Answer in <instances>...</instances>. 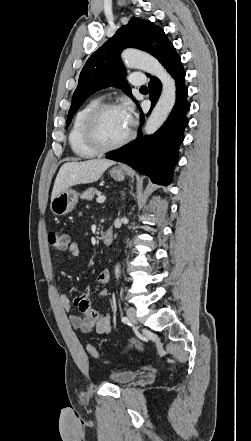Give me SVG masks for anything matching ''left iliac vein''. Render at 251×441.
<instances>
[{
  "label": "left iliac vein",
  "instance_id": "obj_1",
  "mask_svg": "<svg viewBox=\"0 0 251 441\" xmlns=\"http://www.w3.org/2000/svg\"><path fill=\"white\" fill-rule=\"evenodd\" d=\"M127 317L129 318V320H130L133 324H135V325L138 324V320H137V317H136V311H135L133 308H129V309L127 310Z\"/></svg>",
  "mask_w": 251,
  "mask_h": 441
}]
</instances>
